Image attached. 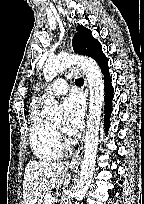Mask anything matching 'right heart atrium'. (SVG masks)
<instances>
[{
    "label": "right heart atrium",
    "mask_w": 144,
    "mask_h": 204,
    "mask_svg": "<svg viewBox=\"0 0 144 204\" xmlns=\"http://www.w3.org/2000/svg\"><path fill=\"white\" fill-rule=\"evenodd\" d=\"M56 136H57V138H58L59 141L62 140V137H61V135H60L59 133L56 132Z\"/></svg>",
    "instance_id": "1"
}]
</instances>
